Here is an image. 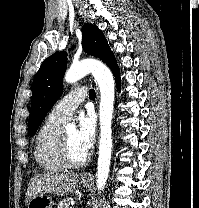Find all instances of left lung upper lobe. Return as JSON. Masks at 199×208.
<instances>
[{
  "label": "left lung upper lobe",
  "instance_id": "left-lung-upper-lobe-1",
  "mask_svg": "<svg viewBox=\"0 0 199 208\" xmlns=\"http://www.w3.org/2000/svg\"><path fill=\"white\" fill-rule=\"evenodd\" d=\"M82 46L86 53L102 59L110 68L116 63L102 31L95 25L82 27ZM67 67V53L57 52L44 60L33 80L28 134L33 136L48 111L61 96L62 79Z\"/></svg>",
  "mask_w": 199,
  "mask_h": 208
}]
</instances>
